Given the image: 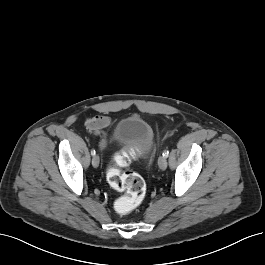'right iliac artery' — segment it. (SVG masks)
<instances>
[{
  "instance_id": "82829eb1",
  "label": "right iliac artery",
  "mask_w": 265,
  "mask_h": 265,
  "mask_svg": "<svg viewBox=\"0 0 265 265\" xmlns=\"http://www.w3.org/2000/svg\"><path fill=\"white\" fill-rule=\"evenodd\" d=\"M95 150H91V155H95Z\"/></svg>"
}]
</instances>
